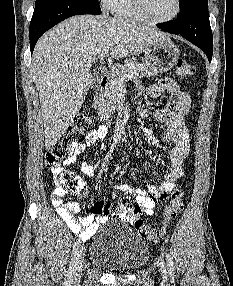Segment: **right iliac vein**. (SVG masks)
<instances>
[{
  "label": "right iliac vein",
  "mask_w": 233,
  "mask_h": 286,
  "mask_svg": "<svg viewBox=\"0 0 233 286\" xmlns=\"http://www.w3.org/2000/svg\"><path fill=\"white\" fill-rule=\"evenodd\" d=\"M83 262H84V248L82 247L75 258L73 271H72V282L73 283L79 282L81 278Z\"/></svg>",
  "instance_id": "63e3f726"
}]
</instances>
